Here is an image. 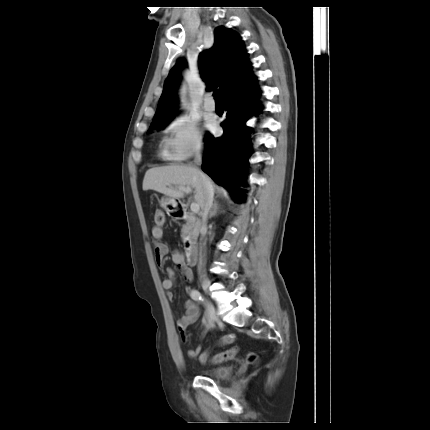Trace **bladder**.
Listing matches in <instances>:
<instances>
[{
    "label": "bladder",
    "instance_id": "obj_1",
    "mask_svg": "<svg viewBox=\"0 0 430 430\" xmlns=\"http://www.w3.org/2000/svg\"><path fill=\"white\" fill-rule=\"evenodd\" d=\"M231 367L229 366H219L212 369H208L203 371L205 376L215 378V379H224L231 375Z\"/></svg>",
    "mask_w": 430,
    "mask_h": 430
}]
</instances>
